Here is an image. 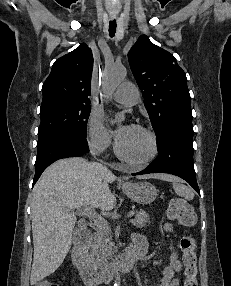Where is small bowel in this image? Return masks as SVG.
Returning <instances> with one entry per match:
<instances>
[{"label": "small bowel", "instance_id": "c3829d8e", "mask_svg": "<svg viewBox=\"0 0 231 286\" xmlns=\"http://www.w3.org/2000/svg\"><path fill=\"white\" fill-rule=\"evenodd\" d=\"M164 230L170 234H174L173 227L170 224H164ZM142 239L145 241L144 237L140 235H135L133 237L134 243L138 240ZM146 242V241H145ZM162 265V260H156L153 263V266ZM182 270V264L178 259L177 250H173L170 255V262L168 265L164 267L163 270V278L159 286H179V282L174 278V276Z\"/></svg>", "mask_w": 231, "mask_h": 286}]
</instances>
